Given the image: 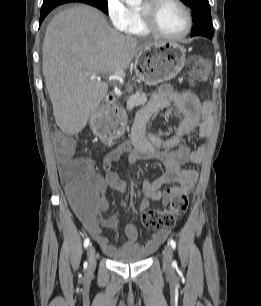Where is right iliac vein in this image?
<instances>
[{
	"mask_svg": "<svg viewBox=\"0 0 261 306\" xmlns=\"http://www.w3.org/2000/svg\"><path fill=\"white\" fill-rule=\"evenodd\" d=\"M87 257L89 262V269L94 270L96 267V251L92 245H90L87 249Z\"/></svg>",
	"mask_w": 261,
	"mask_h": 306,
	"instance_id": "obj_1",
	"label": "right iliac vein"
}]
</instances>
